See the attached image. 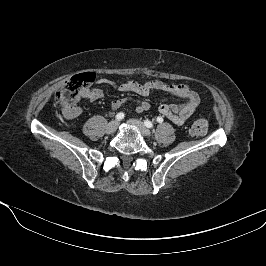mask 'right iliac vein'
<instances>
[{
  "mask_svg": "<svg viewBox=\"0 0 266 266\" xmlns=\"http://www.w3.org/2000/svg\"><path fill=\"white\" fill-rule=\"evenodd\" d=\"M118 121H111L110 123H108L107 127H106V132L108 134L114 133L117 128H118Z\"/></svg>",
  "mask_w": 266,
  "mask_h": 266,
  "instance_id": "right-iliac-vein-1",
  "label": "right iliac vein"
}]
</instances>
